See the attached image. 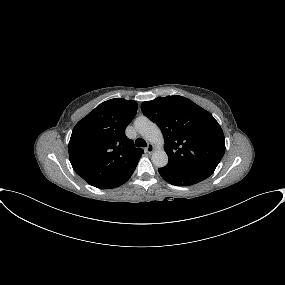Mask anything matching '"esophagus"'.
Masks as SVG:
<instances>
[{
    "instance_id": "34e87169",
    "label": "esophagus",
    "mask_w": 285,
    "mask_h": 285,
    "mask_svg": "<svg viewBox=\"0 0 285 285\" xmlns=\"http://www.w3.org/2000/svg\"><path fill=\"white\" fill-rule=\"evenodd\" d=\"M155 147L153 144H148V146L146 147V152L147 153H152L154 151Z\"/></svg>"
}]
</instances>
